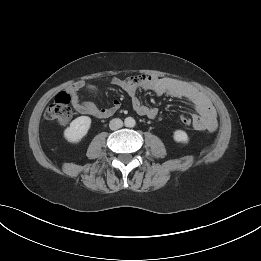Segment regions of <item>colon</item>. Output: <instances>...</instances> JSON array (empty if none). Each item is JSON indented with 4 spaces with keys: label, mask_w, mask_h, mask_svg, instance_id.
<instances>
[{
    "label": "colon",
    "mask_w": 261,
    "mask_h": 261,
    "mask_svg": "<svg viewBox=\"0 0 261 261\" xmlns=\"http://www.w3.org/2000/svg\"><path fill=\"white\" fill-rule=\"evenodd\" d=\"M71 98L66 92L59 93L53 103H51L45 111V117L49 121L59 124H66L72 117L70 108ZM181 122L186 125H192V119L188 116H182Z\"/></svg>",
    "instance_id": "1"
}]
</instances>
